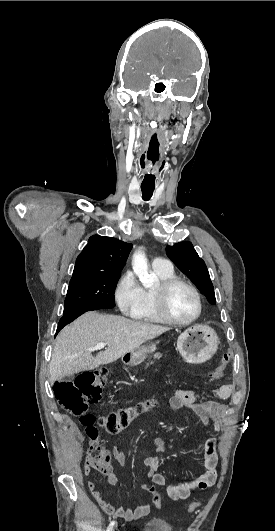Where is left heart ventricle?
Wrapping results in <instances>:
<instances>
[{
    "mask_svg": "<svg viewBox=\"0 0 275 531\" xmlns=\"http://www.w3.org/2000/svg\"><path fill=\"white\" fill-rule=\"evenodd\" d=\"M158 286L153 290L157 289ZM167 308L175 319L187 320L196 313L197 304L192 292L185 286L178 284L168 294Z\"/></svg>",
    "mask_w": 275,
    "mask_h": 531,
    "instance_id": "b2bd125f",
    "label": "left heart ventricle"
}]
</instances>
